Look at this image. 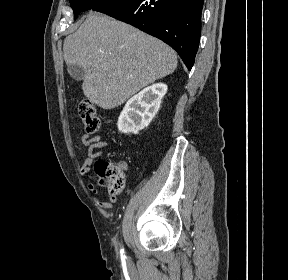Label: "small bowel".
Wrapping results in <instances>:
<instances>
[{
    "instance_id": "c3829d8e",
    "label": "small bowel",
    "mask_w": 288,
    "mask_h": 280,
    "mask_svg": "<svg viewBox=\"0 0 288 280\" xmlns=\"http://www.w3.org/2000/svg\"><path fill=\"white\" fill-rule=\"evenodd\" d=\"M81 143L83 146L87 147L88 155L85 159L82 167L81 174L88 175L91 169V166L96 158H99L103 155L102 149L106 148L108 143L101 139L100 135L90 136L89 133H84L81 137ZM124 171L127 170V164L121 163ZM88 188L91 191L94 199L99 207L103 209L111 208L112 203L116 201V196L109 194L105 201H100L97 198L98 190L92 182H88Z\"/></svg>"
}]
</instances>
